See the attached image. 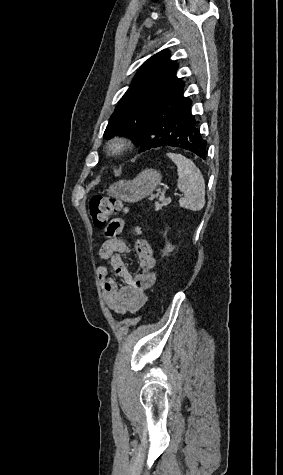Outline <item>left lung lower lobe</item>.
<instances>
[{"label":"left lung lower lobe","mask_w":283,"mask_h":475,"mask_svg":"<svg viewBox=\"0 0 283 475\" xmlns=\"http://www.w3.org/2000/svg\"><path fill=\"white\" fill-rule=\"evenodd\" d=\"M184 82L169 92L151 111L138 136L124 134L141 145L139 153L171 146L207 158V142L200 134L199 121L191 113V99L183 95Z\"/></svg>","instance_id":"obj_1"}]
</instances>
